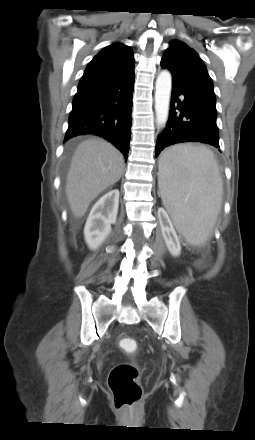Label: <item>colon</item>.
<instances>
[{"label":"colon","mask_w":255,"mask_h":440,"mask_svg":"<svg viewBox=\"0 0 255 440\" xmlns=\"http://www.w3.org/2000/svg\"><path fill=\"white\" fill-rule=\"evenodd\" d=\"M119 346L126 352H134L137 349L136 341L130 337H122ZM139 377V369L132 363L118 364L111 369L108 386L116 408L131 407L140 400L142 388Z\"/></svg>","instance_id":"5ec220e1"}]
</instances>
